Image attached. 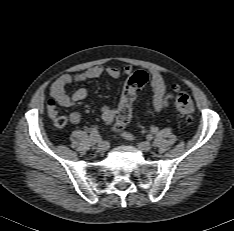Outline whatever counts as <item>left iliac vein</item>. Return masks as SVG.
<instances>
[{"label": "left iliac vein", "mask_w": 234, "mask_h": 231, "mask_svg": "<svg viewBox=\"0 0 234 231\" xmlns=\"http://www.w3.org/2000/svg\"><path fill=\"white\" fill-rule=\"evenodd\" d=\"M137 146L143 152H149L152 149V145L149 142H140Z\"/></svg>", "instance_id": "1"}]
</instances>
